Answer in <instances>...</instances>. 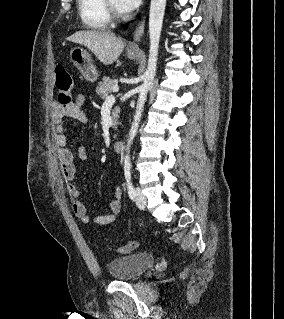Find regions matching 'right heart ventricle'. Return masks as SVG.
Wrapping results in <instances>:
<instances>
[{
	"mask_svg": "<svg viewBox=\"0 0 284 319\" xmlns=\"http://www.w3.org/2000/svg\"><path fill=\"white\" fill-rule=\"evenodd\" d=\"M78 11L83 24L91 29H105L111 18L104 0H77Z\"/></svg>",
	"mask_w": 284,
	"mask_h": 319,
	"instance_id": "e07e8e85",
	"label": "right heart ventricle"
}]
</instances>
